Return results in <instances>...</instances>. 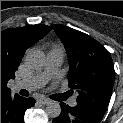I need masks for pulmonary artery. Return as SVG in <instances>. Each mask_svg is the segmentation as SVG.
<instances>
[{
  "label": "pulmonary artery",
  "instance_id": "obj_1",
  "mask_svg": "<svg viewBox=\"0 0 123 123\" xmlns=\"http://www.w3.org/2000/svg\"><path fill=\"white\" fill-rule=\"evenodd\" d=\"M65 57V51L60 46L53 47L47 56V63L44 70L40 73H37L27 79L18 81L14 85V89H27V90H34L42 87L45 85L59 70L60 66L63 63ZM71 106L76 105V99L72 98L69 101Z\"/></svg>",
  "mask_w": 123,
  "mask_h": 123
}]
</instances>
